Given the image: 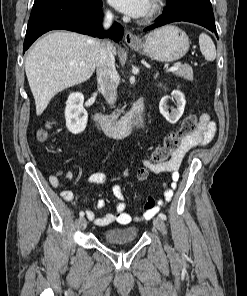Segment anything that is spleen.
Masks as SVG:
<instances>
[{"instance_id": "1", "label": "spleen", "mask_w": 247, "mask_h": 296, "mask_svg": "<svg viewBox=\"0 0 247 296\" xmlns=\"http://www.w3.org/2000/svg\"><path fill=\"white\" fill-rule=\"evenodd\" d=\"M200 51L207 61H214L216 58V48L212 39L205 33L199 35Z\"/></svg>"}]
</instances>
